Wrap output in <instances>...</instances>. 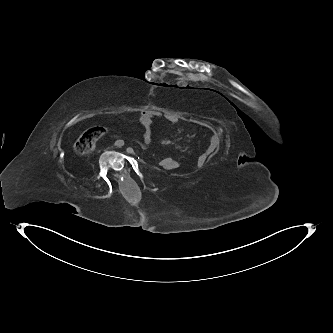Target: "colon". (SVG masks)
Instances as JSON below:
<instances>
[{
	"instance_id": "obj_1",
	"label": "colon",
	"mask_w": 333,
	"mask_h": 333,
	"mask_svg": "<svg viewBox=\"0 0 333 333\" xmlns=\"http://www.w3.org/2000/svg\"><path fill=\"white\" fill-rule=\"evenodd\" d=\"M106 128L100 126H94L87 129L82 133L76 142L74 143V151L79 155L90 154L96 145V142L106 133ZM172 157L166 156L165 159L160 160V166H166L171 164Z\"/></svg>"
}]
</instances>
